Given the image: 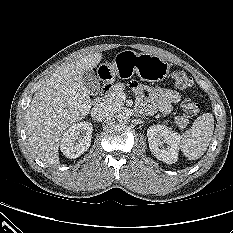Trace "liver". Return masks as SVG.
<instances>
[{
  "label": "liver",
  "mask_w": 233,
  "mask_h": 233,
  "mask_svg": "<svg viewBox=\"0 0 233 233\" xmlns=\"http://www.w3.org/2000/svg\"><path fill=\"white\" fill-rule=\"evenodd\" d=\"M101 59L102 54L97 52L63 64L34 95L25 115L26 130L32 150L42 161L59 162L63 132L90 112V92L82 74Z\"/></svg>",
  "instance_id": "liver-1"
}]
</instances>
